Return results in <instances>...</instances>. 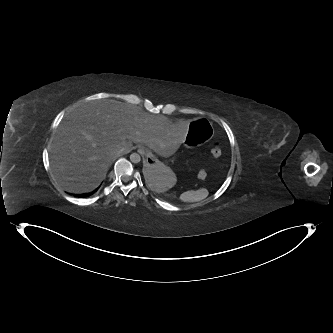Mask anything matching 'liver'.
<instances>
[{
  "mask_svg": "<svg viewBox=\"0 0 333 333\" xmlns=\"http://www.w3.org/2000/svg\"><path fill=\"white\" fill-rule=\"evenodd\" d=\"M187 134L183 119L170 121L116 100L89 101L59 125L49 146L51 171L66 191L90 192L105 178L112 161L130 152L132 143L169 157Z\"/></svg>",
  "mask_w": 333,
  "mask_h": 333,
  "instance_id": "liver-1",
  "label": "liver"
}]
</instances>
